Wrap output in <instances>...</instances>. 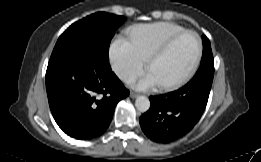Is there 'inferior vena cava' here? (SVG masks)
Instances as JSON below:
<instances>
[{
	"mask_svg": "<svg viewBox=\"0 0 261 162\" xmlns=\"http://www.w3.org/2000/svg\"><path fill=\"white\" fill-rule=\"evenodd\" d=\"M124 78L125 79H132V77L130 75H125Z\"/></svg>",
	"mask_w": 261,
	"mask_h": 162,
	"instance_id": "1",
	"label": "inferior vena cava"
}]
</instances>
